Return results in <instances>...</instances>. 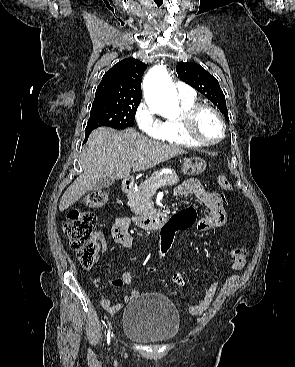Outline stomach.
<instances>
[{"mask_svg":"<svg viewBox=\"0 0 295 367\" xmlns=\"http://www.w3.org/2000/svg\"><path fill=\"white\" fill-rule=\"evenodd\" d=\"M206 169V162L198 157L186 159L182 171L187 175H198Z\"/></svg>","mask_w":295,"mask_h":367,"instance_id":"1","label":"stomach"}]
</instances>
